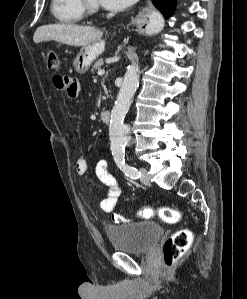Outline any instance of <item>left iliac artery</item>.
<instances>
[{"instance_id":"1","label":"left iliac artery","mask_w":247,"mask_h":299,"mask_svg":"<svg viewBox=\"0 0 247 299\" xmlns=\"http://www.w3.org/2000/svg\"><path fill=\"white\" fill-rule=\"evenodd\" d=\"M115 162L117 166L125 173L126 176L132 179H138L141 177V173L135 167H132L125 163L124 155L115 156Z\"/></svg>"}]
</instances>
